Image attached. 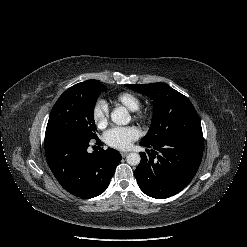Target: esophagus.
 I'll return each mask as SVG.
<instances>
[{
	"label": "esophagus",
	"instance_id": "1",
	"mask_svg": "<svg viewBox=\"0 0 247 247\" xmlns=\"http://www.w3.org/2000/svg\"><path fill=\"white\" fill-rule=\"evenodd\" d=\"M128 155V152H121L122 157H126Z\"/></svg>",
	"mask_w": 247,
	"mask_h": 247
}]
</instances>
